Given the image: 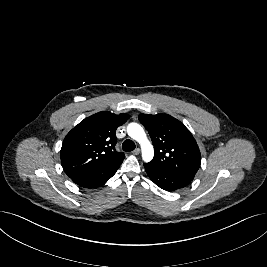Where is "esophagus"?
Returning a JSON list of instances; mask_svg holds the SVG:
<instances>
[{
	"mask_svg": "<svg viewBox=\"0 0 267 267\" xmlns=\"http://www.w3.org/2000/svg\"><path fill=\"white\" fill-rule=\"evenodd\" d=\"M134 155H138L140 153V149L136 148L135 150L132 151Z\"/></svg>",
	"mask_w": 267,
	"mask_h": 267,
	"instance_id": "obj_1",
	"label": "esophagus"
}]
</instances>
